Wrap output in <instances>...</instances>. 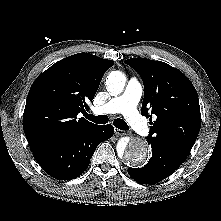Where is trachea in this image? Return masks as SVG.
Listing matches in <instances>:
<instances>
[{
  "mask_svg": "<svg viewBox=\"0 0 221 221\" xmlns=\"http://www.w3.org/2000/svg\"><path fill=\"white\" fill-rule=\"evenodd\" d=\"M85 117L96 123V124H106L108 122V117L106 115H99V116H94V115H89V114H86ZM113 125L118 128V129H121V130H128L129 127L127 125V123L122 120V119H115L113 121Z\"/></svg>",
  "mask_w": 221,
  "mask_h": 221,
  "instance_id": "obj_1",
  "label": "trachea"
}]
</instances>
